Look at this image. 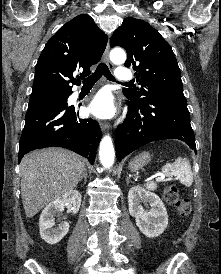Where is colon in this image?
I'll return each instance as SVG.
<instances>
[{
    "mask_svg": "<svg viewBox=\"0 0 221 274\" xmlns=\"http://www.w3.org/2000/svg\"><path fill=\"white\" fill-rule=\"evenodd\" d=\"M163 198L168 204L174 206L176 212L180 216L185 217L191 212L190 201L179 196V191L176 186L169 185L165 187L163 191Z\"/></svg>",
    "mask_w": 221,
    "mask_h": 274,
    "instance_id": "colon-1",
    "label": "colon"
}]
</instances>
